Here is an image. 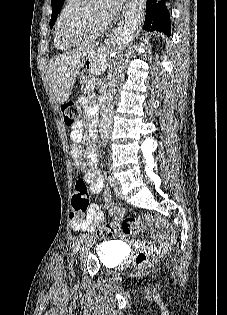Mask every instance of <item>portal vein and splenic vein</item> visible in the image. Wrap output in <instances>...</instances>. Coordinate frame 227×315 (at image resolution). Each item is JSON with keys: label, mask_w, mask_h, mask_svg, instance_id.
Masks as SVG:
<instances>
[{"label": "portal vein and splenic vein", "mask_w": 227, "mask_h": 315, "mask_svg": "<svg viewBox=\"0 0 227 315\" xmlns=\"http://www.w3.org/2000/svg\"><path fill=\"white\" fill-rule=\"evenodd\" d=\"M95 82H96V79H95V77H92L90 80H89V84L90 85H93V84H95Z\"/></svg>", "instance_id": "1"}]
</instances>
